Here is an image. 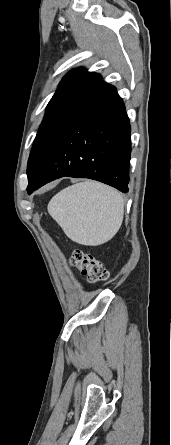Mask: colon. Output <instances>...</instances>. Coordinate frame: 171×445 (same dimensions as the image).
<instances>
[{
  "instance_id": "colon-1",
  "label": "colon",
  "mask_w": 171,
  "mask_h": 445,
  "mask_svg": "<svg viewBox=\"0 0 171 445\" xmlns=\"http://www.w3.org/2000/svg\"><path fill=\"white\" fill-rule=\"evenodd\" d=\"M69 262L72 266L78 268L84 274L89 283L95 284L108 279L109 273L104 264L91 253L75 249Z\"/></svg>"
}]
</instances>
